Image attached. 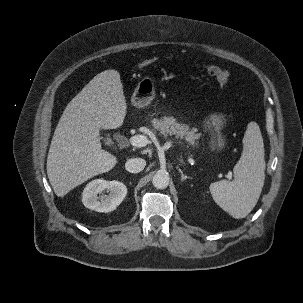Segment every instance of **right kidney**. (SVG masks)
Segmentation results:
<instances>
[{
  "mask_svg": "<svg viewBox=\"0 0 303 303\" xmlns=\"http://www.w3.org/2000/svg\"><path fill=\"white\" fill-rule=\"evenodd\" d=\"M108 190L109 194H103ZM126 186L119 181L96 179L86 185L82 194V202L86 208L97 212H111L124 200Z\"/></svg>",
  "mask_w": 303,
  "mask_h": 303,
  "instance_id": "obj_1",
  "label": "right kidney"
}]
</instances>
